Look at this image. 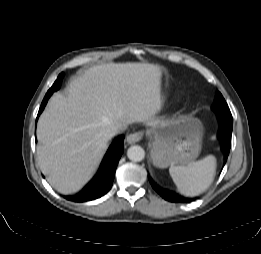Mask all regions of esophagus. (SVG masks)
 <instances>
[{
  "mask_svg": "<svg viewBox=\"0 0 261 254\" xmlns=\"http://www.w3.org/2000/svg\"><path fill=\"white\" fill-rule=\"evenodd\" d=\"M142 137H143V132L139 131V132L129 134L127 136L126 140H127V143L134 144V143L140 141Z\"/></svg>",
  "mask_w": 261,
  "mask_h": 254,
  "instance_id": "esophagus-1",
  "label": "esophagus"
}]
</instances>
